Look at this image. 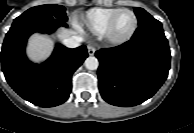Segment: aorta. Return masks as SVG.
Wrapping results in <instances>:
<instances>
[{"label": "aorta", "mask_w": 194, "mask_h": 133, "mask_svg": "<svg viewBox=\"0 0 194 133\" xmlns=\"http://www.w3.org/2000/svg\"><path fill=\"white\" fill-rule=\"evenodd\" d=\"M84 65L88 70H96L99 66V61L96 57L90 56L86 58Z\"/></svg>", "instance_id": "obj_1"}]
</instances>
